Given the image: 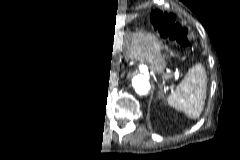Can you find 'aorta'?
<instances>
[{
  "label": "aorta",
  "instance_id": "762f6f07",
  "mask_svg": "<svg viewBox=\"0 0 240 160\" xmlns=\"http://www.w3.org/2000/svg\"><path fill=\"white\" fill-rule=\"evenodd\" d=\"M135 92L139 95H146L150 90V83L144 76H137L132 81Z\"/></svg>",
  "mask_w": 240,
  "mask_h": 160
}]
</instances>
